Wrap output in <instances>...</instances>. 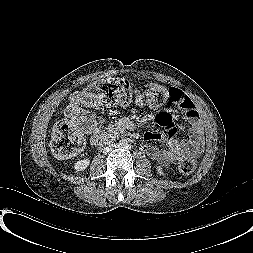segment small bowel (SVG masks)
Wrapping results in <instances>:
<instances>
[{"instance_id":"c3829d8e","label":"small bowel","mask_w":253,"mask_h":253,"mask_svg":"<svg viewBox=\"0 0 253 253\" xmlns=\"http://www.w3.org/2000/svg\"><path fill=\"white\" fill-rule=\"evenodd\" d=\"M171 89L175 92L174 103L190 122V139L184 141L175 138L178 126L172 119V113L168 110L160 112L156 117L158 123L163 126V131H148L143 135V140L147 144L152 142L166 144L165 149L155 145H149L146 148L149 157L165 167L187 156L198 157L204 146V135L196 105L185 93L175 88ZM66 113L74 118L78 129L89 135L92 145L99 146L111 137L112 132L103 131L101 120L83 108L79 93L76 92L70 96ZM122 126L121 124L116 125L115 129L122 128Z\"/></svg>"}]
</instances>
